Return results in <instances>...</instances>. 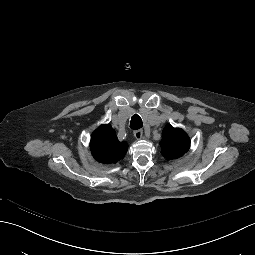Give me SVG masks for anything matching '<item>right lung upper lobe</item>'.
Listing matches in <instances>:
<instances>
[{
	"mask_svg": "<svg viewBox=\"0 0 255 255\" xmlns=\"http://www.w3.org/2000/svg\"><path fill=\"white\" fill-rule=\"evenodd\" d=\"M115 134V130L109 124L100 125L94 131L90 150L97 161L115 163L125 156L128 144L120 142Z\"/></svg>",
	"mask_w": 255,
	"mask_h": 255,
	"instance_id": "1",
	"label": "right lung upper lobe"
}]
</instances>
